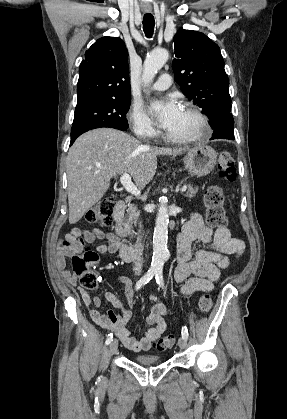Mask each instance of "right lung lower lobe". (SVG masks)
<instances>
[{
  "instance_id": "right-lung-lower-lobe-1",
  "label": "right lung lower lobe",
  "mask_w": 287,
  "mask_h": 419,
  "mask_svg": "<svg viewBox=\"0 0 287 419\" xmlns=\"http://www.w3.org/2000/svg\"><path fill=\"white\" fill-rule=\"evenodd\" d=\"M74 141H75V139L74 140H71V144H73Z\"/></svg>"
}]
</instances>
